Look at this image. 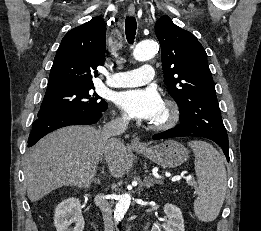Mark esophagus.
I'll use <instances>...</instances> for the list:
<instances>
[{
	"label": "esophagus",
	"mask_w": 261,
	"mask_h": 231,
	"mask_svg": "<svg viewBox=\"0 0 261 231\" xmlns=\"http://www.w3.org/2000/svg\"><path fill=\"white\" fill-rule=\"evenodd\" d=\"M135 2L131 3L128 7V13L130 16L135 15ZM132 148H145V145L141 142L139 137H134L131 141Z\"/></svg>",
	"instance_id": "obj_1"
}]
</instances>
